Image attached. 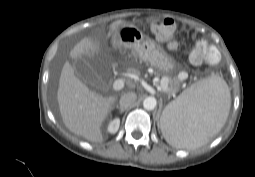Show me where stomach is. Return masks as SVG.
Here are the masks:
<instances>
[{
    "label": "stomach",
    "instance_id": "stomach-1",
    "mask_svg": "<svg viewBox=\"0 0 255 177\" xmlns=\"http://www.w3.org/2000/svg\"><path fill=\"white\" fill-rule=\"evenodd\" d=\"M113 44L129 49L141 60L151 64L162 73H171L174 60L155 41L145 36L134 24H124L113 35Z\"/></svg>",
    "mask_w": 255,
    "mask_h": 177
}]
</instances>
